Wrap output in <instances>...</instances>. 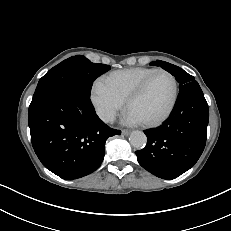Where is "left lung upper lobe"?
Wrapping results in <instances>:
<instances>
[{
  "label": "left lung upper lobe",
  "mask_w": 231,
  "mask_h": 231,
  "mask_svg": "<svg viewBox=\"0 0 231 231\" xmlns=\"http://www.w3.org/2000/svg\"><path fill=\"white\" fill-rule=\"evenodd\" d=\"M151 65L160 66L166 71H168L169 73H171L173 76H175L177 82L180 83L179 90L181 89L182 85L188 82L194 81L193 76H191L190 74L185 72L183 69L173 64L157 60V61L151 62Z\"/></svg>",
  "instance_id": "5c2ea615"
}]
</instances>
